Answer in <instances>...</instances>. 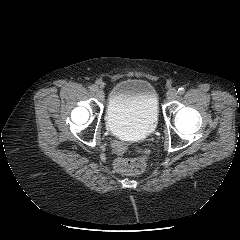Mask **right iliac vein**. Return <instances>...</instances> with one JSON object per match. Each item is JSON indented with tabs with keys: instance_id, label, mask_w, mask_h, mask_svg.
<instances>
[{
	"instance_id": "1",
	"label": "right iliac vein",
	"mask_w": 240,
	"mask_h": 240,
	"mask_svg": "<svg viewBox=\"0 0 240 240\" xmlns=\"http://www.w3.org/2000/svg\"><path fill=\"white\" fill-rule=\"evenodd\" d=\"M95 94H96V97H97L99 100H103L104 97H105L104 91L101 90V89H97V90L95 91Z\"/></svg>"
}]
</instances>
